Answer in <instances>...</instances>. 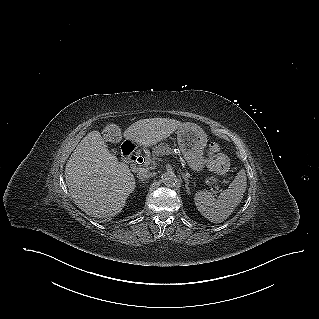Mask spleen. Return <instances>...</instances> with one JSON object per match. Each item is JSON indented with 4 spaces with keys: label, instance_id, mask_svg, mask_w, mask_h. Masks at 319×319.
Listing matches in <instances>:
<instances>
[{
    "label": "spleen",
    "instance_id": "obj_1",
    "mask_svg": "<svg viewBox=\"0 0 319 319\" xmlns=\"http://www.w3.org/2000/svg\"><path fill=\"white\" fill-rule=\"evenodd\" d=\"M245 170H240L229 187L217 198L206 191L195 194L194 201L198 211L209 221L221 223L226 220L243 199L247 186Z\"/></svg>",
    "mask_w": 319,
    "mask_h": 319
}]
</instances>
